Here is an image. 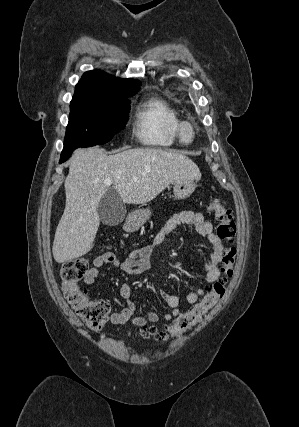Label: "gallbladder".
<instances>
[{
    "mask_svg": "<svg viewBox=\"0 0 299 427\" xmlns=\"http://www.w3.org/2000/svg\"><path fill=\"white\" fill-rule=\"evenodd\" d=\"M97 212L103 224L116 226L123 222L126 207L115 190H108L98 203Z\"/></svg>",
    "mask_w": 299,
    "mask_h": 427,
    "instance_id": "obj_1",
    "label": "gallbladder"
}]
</instances>
